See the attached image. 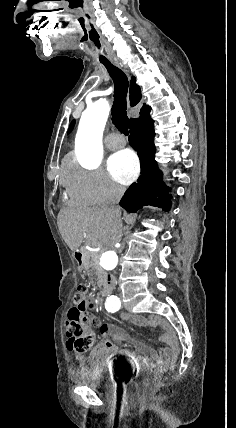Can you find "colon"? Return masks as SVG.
Here are the masks:
<instances>
[{
    "instance_id": "colon-1",
    "label": "colon",
    "mask_w": 236,
    "mask_h": 428,
    "mask_svg": "<svg viewBox=\"0 0 236 428\" xmlns=\"http://www.w3.org/2000/svg\"><path fill=\"white\" fill-rule=\"evenodd\" d=\"M75 305L69 310L66 320L67 346L78 353L90 350L94 344V336L88 329L90 302L85 285H79L74 296ZM160 380L159 375L145 376L140 385L143 390H153Z\"/></svg>"
}]
</instances>
